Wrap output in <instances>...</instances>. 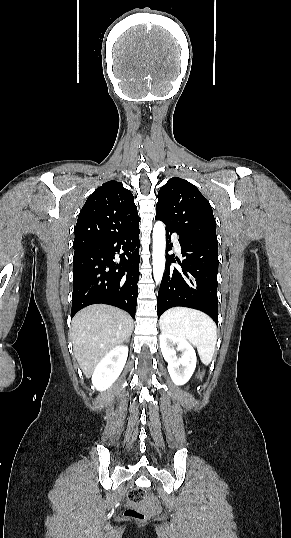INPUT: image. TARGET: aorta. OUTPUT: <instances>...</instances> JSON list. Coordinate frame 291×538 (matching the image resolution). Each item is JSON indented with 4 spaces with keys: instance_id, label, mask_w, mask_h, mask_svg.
I'll list each match as a JSON object with an SVG mask.
<instances>
[{
    "instance_id": "1",
    "label": "aorta",
    "mask_w": 291,
    "mask_h": 538,
    "mask_svg": "<svg viewBox=\"0 0 291 538\" xmlns=\"http://www.w3.org/2000/svg\"><path fill=\"white\" fill-rule=\"evenodd\" d=\"M165 225L158 221L153 228V276L156 284L160 283L165 270Z\"/></svg>"
}]
</instances>
